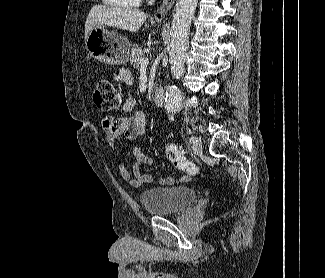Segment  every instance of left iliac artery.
I'll return each instance as SVG.
<instances>
[{"label":"left iliac artery","mask_w":325,"mask_h":278,"mask_svg":"<svg viewBox=\"0 0 325 278\" xmlns=\"http://www.w3.org/2000/svg\"><path fill=\"white\" fill-rule=\"evenodd\" d=\"M196 141H197L196 137H193V136H192V137L190 138V143H195Z\"/></svg>","instance_id":"44dca946"}]
</instances>
